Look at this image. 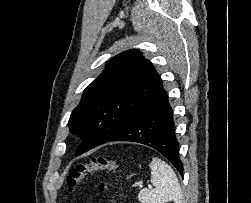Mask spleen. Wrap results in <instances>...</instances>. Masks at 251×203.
Instances as JSON below:
<instances>
[{
	"label": "spleen",
	"mask_w": 251,
	"mask_h": 203,
	"mask_svg": "<svg viewBox=\"0 0 251 203\" xmlns=\"http://www.w3.org/2000/svg\"><path fill=\"white\" fill-rule=\"evenodd\" d=\"M151 182L154 189H142L138 195L141 203H182L183 195L174 170L159 158H153L149 164Z\"/></svg>",
	"instance_id": "obj_1"
}]
</instances>
